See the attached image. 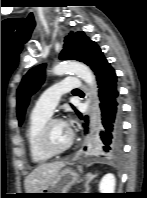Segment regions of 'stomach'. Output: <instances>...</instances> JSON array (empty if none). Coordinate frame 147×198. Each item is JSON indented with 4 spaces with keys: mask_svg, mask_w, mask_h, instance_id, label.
I'll return each instance as SVG.
<instances>
[{
    "mask_svg": "<svg viewBox=\"0 0 147 198\" xmlns=\"http://www.w3.org/2000/svg\"><path fill=\"white\" fill-rule=\"evenodd\" d=\"M79 181V174L72 168L66 167L61 170L55 179L49 183L44 189L37 192L34 198H52L61 197V194L54 193H67V191Z\"/></svg>",
    "mask_w": 147,
    "mask_h": 198,
    "instance_id": "1",
    "label": "stomach"
}]
</instances>
